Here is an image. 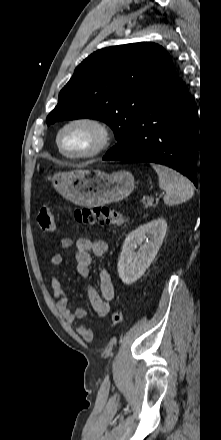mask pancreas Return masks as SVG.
Instances as JSON below:
<instances>
[{
    "label": "pancreas",
    "mask_w": 221,
    "mask_h": 440,
    "mask_svg": "<svg viewBox=\"0 0 221 440\" xmlns=\"http://www.w3.org/2000/svg\"><path fill=\"white\" fill-rule=\"evenodd\" d=\"M157 203L154 204L152 199H148L147 202H144V207L145 208H154L156 207Z\"/></svg>",
    "instance_id": "obj_1"
}]
</instances>
